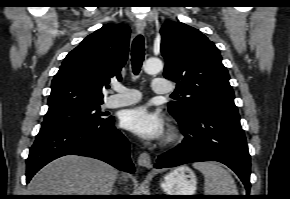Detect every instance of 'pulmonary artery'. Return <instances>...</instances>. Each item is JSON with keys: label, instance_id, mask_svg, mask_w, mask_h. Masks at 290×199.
<instances>
[{"label": "pulmonary artery", "instance_id": "e3ab8cb5", "mask_svg": "<svg viewBox=\"0 0 290 199\" xmlns=\"http://www.w3.org/2000/svg\"><path fill=\"white\" fill-rule=\"evenodd\" d=\"M152 88L158 94H168L173 92L174 85L163 79H155L152 82ZM112 90L114 94L110 95L104 104L109 109L128 106L141 99L137 90L129 89L121 84H114Z\"/></svg>", "mask_w": 290, "mask_h": 199}]
</instances>
